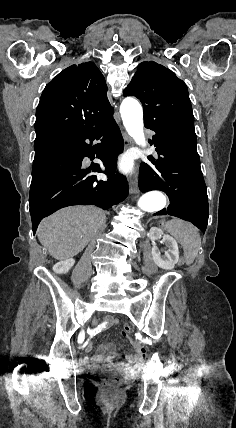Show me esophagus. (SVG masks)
I'll use <instances>...</instances> for the list:
<instances>
[{"label":"esophagus","instance_id":"34e87169","mask_svg":"<svg viewBox=\"0 0 236 428\" xmlns=\"http://www.w3.org/2000/svg\"><path fill=\"white\" fill-rule=\"evenodd\" d=\"M125 146L130 147L133 145L132 139L124 132ZM129 190L131 194L139 193L137 178H132L129 182Z\"/></svg>","mask_w":236,"mask_h":428}]
</instances>
